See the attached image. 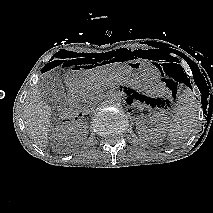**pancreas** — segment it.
<instances>
[{"label":"pancreas","instance_id":"obj_1","mask_svg":"<svg viewBox=\"0 0 213 213\" xmlns=\"http://www.w3.org/2000/svg\"><path fill=\"white\" fill-rule=\"evenodd\" d=\"M98 80L101 81L102 78L100 77ZM79 95L83 102L94 99L96 95V85L93 83L86 84L79 90Z\"/></svg>","mask_w":213,"mask_h":213}]
</instances>
